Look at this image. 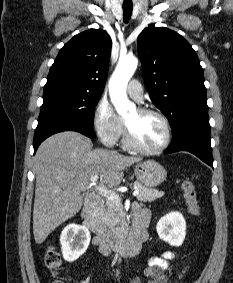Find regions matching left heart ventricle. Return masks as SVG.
Listing matches in <instances>:
<instances>
[{"label":"left heart ventricle","instance_id":"b2bd125f","mask_svg":"<svg viewBox=\"0 0 233 283\" xmlns=\"http://www.w3.org/2000/svg\"><path fill=\"white\" fill-rule=\"evenodd\" d=\"M136 141L147 149L160 147L166 138V130L161 119L155 115H142L137 110L125 117Z\"/></svg>","mask_w":233,"mask_h":283}]
</instances>
